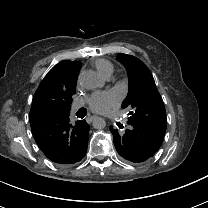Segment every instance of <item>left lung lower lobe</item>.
<instances>
[{"mask_svg":"<svg viewBox=\"0 0 208 208\" xmlns=\"http://www.w3.org/2000/svg\"><path fill=\"white\" fill-rule=\"evenodd\" d=\"M127 124L124 131L109 127L118 154L131 163L147 161L159 150L164 135L129 120Z\"/></svg>","mask_w":208,"mask_h":208,"instance_id":"obj_1","label":"left lung lower lobe"}]
</instances>
